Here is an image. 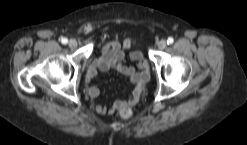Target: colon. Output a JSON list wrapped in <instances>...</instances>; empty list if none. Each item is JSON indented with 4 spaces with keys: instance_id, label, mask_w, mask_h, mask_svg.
Segmentation results:
<instances>
[{
    "instance_id": "1",
    "label": "colon",
    "mask_w": 247,
    "mask_h": 145,
    "mask_svg": "<svg viewBox=\"0 0 247 145\" xmlns=\"http://www.w3.org/2000/svg\"><path fill=\"white\" fill-rule=\"evenodd\" d=\"M119 115L123 119H129L132 116V110L129 107H123L119 110Z\"/></svg>"
}]
</instances>
